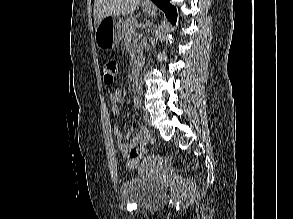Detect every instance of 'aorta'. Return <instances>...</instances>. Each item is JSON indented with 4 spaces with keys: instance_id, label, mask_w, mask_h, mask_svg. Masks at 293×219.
<instances>
[{
    "instance_id": "1",
    "label": "aorta",
    "mask_w": 293,
    "mask_h": 219,
    "mask_svg": "<svg viewBox=\"0 0 293 219\" xmlns=\"http://www.w3.org/2000/svg\"><path fill=\"white\" fill-rule=\"evenodd\" d=\"M136 89H140V85H137V83H136Z\"/></svg>"
}]
</instances>
